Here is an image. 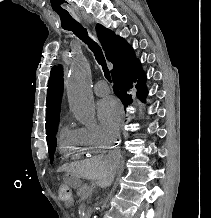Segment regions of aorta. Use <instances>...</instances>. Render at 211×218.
Wrapping results in <instances>:
<instances>
[{"mask_svg":"<svg viewBox=\"0 0 211 218\" xmlns=\"http://www.w3.org/2000/svg\"><path fill=\"white\" fill-rule=\"evenodd\" d=\"M91 69L85 59L75 61L66 81L67 96L75 118L90 126L95 119V105L90 88Z\"/></svg>","mask_w":211,"mask_h":218,"instance_id":"1","label":"aorta"}]
</instances>
